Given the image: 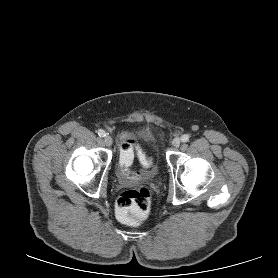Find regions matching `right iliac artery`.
Masks as SVG:
<instances>
[{"mask_svg": "<svg viewBox=\"0 0 278 278\" xmlns=\"http://www.w3.org/2000/svg\"><path fill=\"white\" fill-rule=\"evenodd\" d=\"M98 135H99L100 137H105V136H106V133H105L104 130L100 129V130H98Z\"/></svg>", "mask_w": 278, "mask_h": 278, "instance_id": "1", "label": "right iliac artery"}]
</instances>
